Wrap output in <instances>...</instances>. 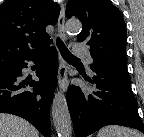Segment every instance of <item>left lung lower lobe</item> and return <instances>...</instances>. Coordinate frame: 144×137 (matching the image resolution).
<instances>
[{
  "label": "left lung lower lobe",
  "mask_w": 144,
  "mask_h": 137,
  "mask_svg": "<svg viewBox=\"0 0 144 137\" xmlns=\"http://www.w3.org/2000/svg\"><path fill=\"white\" fill-rule=\"evenodd\" d=\"M91 69L93 78H84L94 84L95 90L70 86L67 93L75 136L86 137L106 125L127 126L144 133L130 77L100 67Z\"/></svg>",
  "instance_id": "obj_1"
}]
</instances>
